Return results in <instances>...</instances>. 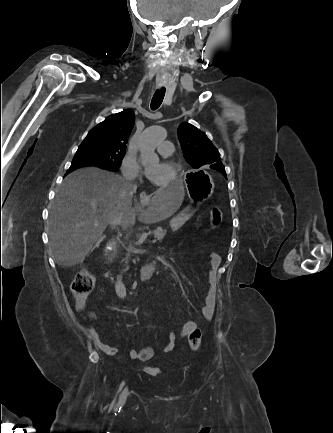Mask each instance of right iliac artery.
Wrapping results in <instances>:
<instances>
[{"label": "right iliac artery", "mask_w": 333, "mask_h": 433, "mask_svg": "<svg viewBox=\"0 0 333 433\" xmlns=\"http://www.w3.org/2000/svg\"><path fill=\"white\" fill-rule=\"evenodd\" d=\"M125 382L123 381L120 385V389H122V387L124 386ZM128 395V388H125L120 396L119 402L117 404V406H119L120 408L124 405L126 398Z\"/></svg>", "instance_id": "1"}]
</instances>
